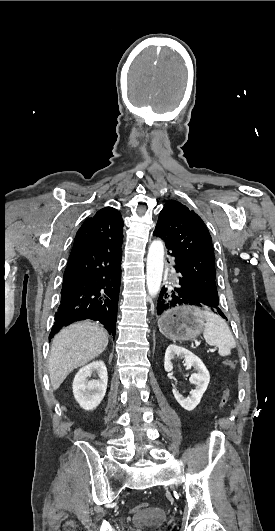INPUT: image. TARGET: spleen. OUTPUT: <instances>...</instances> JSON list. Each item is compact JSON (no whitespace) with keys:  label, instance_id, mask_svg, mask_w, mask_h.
I'll return each mask as SVG.
<instances>
[{"label":"spleen","instance_id":"3e777b00","mask_svg":"<svg viewBox=\"0 0 275 531\" xmlns=\"http://www.w3.org/2000/svg\"><path fill=\"white\" fill-rule=\"evenodd\" d=\"M205 319L203 337L211 347H218L220 357L231 355V349L236 347L234 337L225 321L211 311H202Z\"/></svg>","mask_w":275,"mask_h":531}]
</instances>
